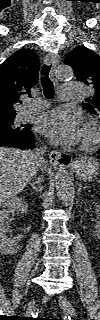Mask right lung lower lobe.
<instances>
[{
    "instance_id": "right-lung-lower-lobe-1",
    "label": "right lung lower lobe",
    "mask_w": 100,
    "mask_h": 320,
    "mask_svg": "<svg viewBox=\"0 0 100 320\" xmlns=\"http://www.w3.org/2000/svg\"><path fill=\"white\" fill-rule=\"evenodd\" d=\"M35 140L31 131L20 135H11L7 133L0 134V145L16 148H32Z\"/></svg>"
}]
</instances>
